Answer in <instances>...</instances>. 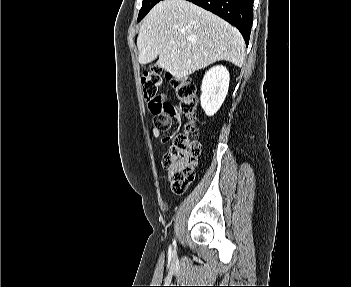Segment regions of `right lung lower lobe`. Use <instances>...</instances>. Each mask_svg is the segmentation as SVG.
I'll use <instances>...</instances> for the list:
<instances>
[{
	"instance_id": "obj_1",
	"label": "right lung lower lobe",
	"mask_w": 351,
	"mask_h": 287,
	"mask_svg": "<svg viewBox=\"0 0 351 287\" xmlns=\"http://www.w3.org/2000/svg\"><path fill=\"white\" fill-rule=\"evenodd\" d=\"M234 25L249 42L254 0H188Z\"/></svg>"
}]
</instances>
